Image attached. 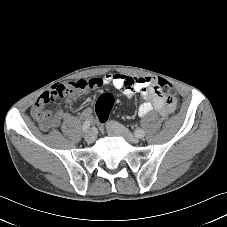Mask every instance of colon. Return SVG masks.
<instances>
[{
    "instance_id": "5ec220e1",
    "label": "colon",
    "mask_w": 227,
    "mask_h": 227,
    "mask_svg": "<svg viewBox=\"0 0 227 227\" xmlns=\"http://www.w3.org/2000/svg\"><path fill=\"white\" fill-rule=\"evenodd\" d=\"M159 87L161 91L166 95L173 94V87L166 80L159 81ZM114 99L113 96L109 93L101 94L95 104V111L97 118L100 122H105L108 118V115L113 107Z\"/></svg>"
}]
</instances>
